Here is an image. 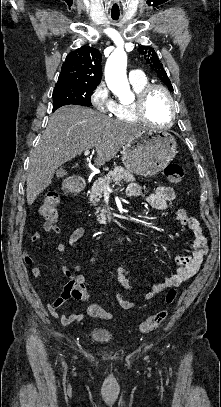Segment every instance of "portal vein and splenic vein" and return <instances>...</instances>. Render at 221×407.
Returning a JSON list of instances; mask_svg holds the SVG:
<instances>
[{"instance_id": "obj_1", "label": "portal vein and splenic vein", "mask_w": 221, "mask_h": 407, "mask_svg": "<svg viewBox=\"0 0 221 407\" xmlns=\"http://www.w3.org/2000/svg\"><path fill=\"white\" fill-rule=\"evenodd\" d=\"M89 154H90V151H89V150H85V151H84V155H85V156H87V155H89ZM103 187H104V189H106V190H109V189H110L109 183H104V184H103Z\"/></svg>"}]
</instances>
